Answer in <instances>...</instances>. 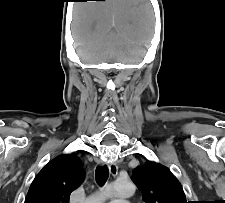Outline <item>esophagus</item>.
Instances as JSON below:
<instances>
[{
	"instance_id": "34e87169",
	"label": "esophagus",
	"mask_w": 225,
	"mask_h": 203,
	"mask_svg": "<svg viewBox=\"0 0 225 203\" xmlns=\"http://www.w3.org/2000/svg\"><path fill=\"white\" fill-rule=\"evenodd\" d=\"M108 167H109L110 173H111L113 176H116L117 173H118V167H117V165H116L115 163H110V164L108 165Z\"/></svg>"
}]
</instances>
